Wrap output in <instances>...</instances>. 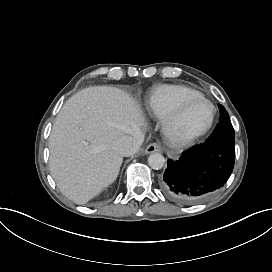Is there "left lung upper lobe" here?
I'll return each instance as SVG.
<instances>
[{
  "label": "left lung upper lobe",
  "instance_id": "left-lung-upper-lobe-1",
  "mask_svg": "<svg viewBox=\"0 0 272 272\" xmlns=\"http://www.w3.org/2000/svg\"><path fill=\"white\" fill-rule=\"evenodd\" d=\"M220 109V122L214 134L207 140L206 143L221 144L226 146H233L235 143V133L230 122L228 112L222 105Z\"/></svg>",
  "mask_w": 272,
  "mask_h": 272
}]
</instances>
